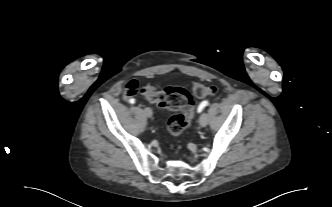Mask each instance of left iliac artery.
<instances>
[{
  "mask_svg": "<svg viewBox=\"0 0 332 207\" xmlns=\"http://www.w3.org/2000/svg\"><path fill=\"white\" fill-rule=\"evenodd\" d=\"M208 103L209 102L207 100L201 102L198 106V109H197L198 113H200L208 105Z\"/></svg>",
  "mask_w": 332,
  "mask_h": 207,
  "instance_id": "44dca946",
  "label": "left iliac artery"
}]
</instances>
